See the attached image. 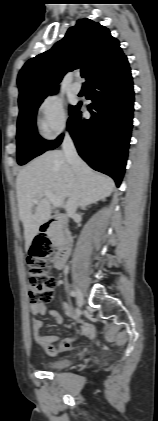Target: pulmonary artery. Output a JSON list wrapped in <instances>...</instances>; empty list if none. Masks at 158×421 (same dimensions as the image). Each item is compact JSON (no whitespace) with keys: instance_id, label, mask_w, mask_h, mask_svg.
Returning a JSON list of instances; mask_svg holds the SVG:
<instances>
[{"instance_id":"obj_1","label":"pulmonary artery","mask_w":158,"mask_h":421,"mask_svg":"<svg viewBox=\"0 0 158 421\" xmlns=\"http://www.w3.org/2000/svg\"><path fill=\"white\" fill-rule=\"evenodd\" d=\"M81 90H82V85H81V83H80V81H79V76H77L76 77V81L74 82V84L72 85V91L75 93V94H78V93H80L81 92Z\"/></svg>"}]
</instances>
